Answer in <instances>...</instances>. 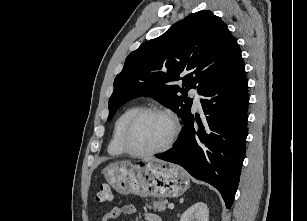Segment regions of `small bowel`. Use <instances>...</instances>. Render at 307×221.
Masks as SVG:
<instances>
[{"label":"small bowel","instance_id":"c3829d8e","mask_svg":"<svg viewBox=\"0 0 307 221\" xmlns=\"http://www.w3.org/2000/svg\"><path fill=\"white\" fill-rule=\"evenodd\" d=\"M136 212V208L133 205H124L122 207H115L107 211L99 221H110L119 217L121 214L131 215ZM146 221H162V219L154 213L147 212L145 213Z\"/></svg>","mask_w":307,"mask_h":221}]
</instances>
